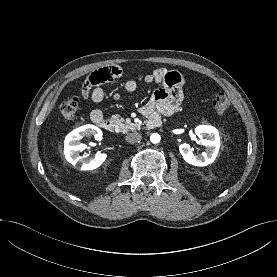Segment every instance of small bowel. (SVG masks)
<instances>
[{"label":"small bowel","mask_w":277,"mask_h":277,"mask_svg":"<svg viewBox=\"0 0 277 277\" xmlns=\"http://www.w3.org/2000/svg\"><path fill=\"white\" fill-rule=\"evenodd\" d=\"M122 70L119 66H107L92 72L86 79L81 95L84 99H91L94 103L103 101L105 93L102 85L119 78ZM138 80L143 83H155L158 85L151 96V99L140 108L145 116L164 115L171 116L179 108L183 100V78L179 72L168 71L165 68H157L151 73H141ZM138 87V82L129 79L124 82V90L133 93ZM115 100H120L122 94H114ZM91 120L95 123L98 119L103 118L102 111L93 109L90 113Z\"/></svg>","instance_id":"small-bowel-1"}]
</instances>
